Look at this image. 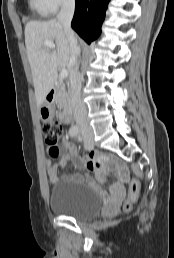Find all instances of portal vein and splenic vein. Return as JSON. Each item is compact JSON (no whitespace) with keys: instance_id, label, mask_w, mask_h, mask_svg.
I'll list each match as a JSON object with an SVG mask.
<instances>
[{"instance_id":"obj_1","label":"portal vein and splenic vein","mask_w":174,"mask_h":258,"mask_svg":"<svg viewBox=\"0 0 174 258\" xmlns=\"http://www.w3.org/2000/svg\"><path fill=\"white\" fill-rule=\"evenodd\" d=\"M44 45H45L46 47L51 48V49H54V48H55V44H54L53 42H51V41H45V42H44ZM67 76H68V71H67V69H62V71H61V73H60V77H61V78H66Z\"/></svg>"}]
</instances>
